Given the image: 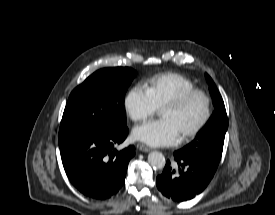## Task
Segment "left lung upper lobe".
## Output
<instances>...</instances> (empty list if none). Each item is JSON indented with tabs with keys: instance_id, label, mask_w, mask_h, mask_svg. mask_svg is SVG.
Masks as SVG:
<instances>
[{
	"instance_id": "5c2ea615",
	"label": "left lung upper lobe",
	"mask_w": 275,
	"mask_h": 215,
	"mask_svg": "<svg viewBox=\"0 0 275 215\" xmlns=\"http://www.w3.org/2000/svg\"><path fill=\"white\" fill-rule=\"evenodd\" d=\"M206 79L215 111L194 140L178 151L182 155L201 159L218 166L223 151L225 133L228 129V118L223 99L216 85L208 74H206Z\"/></svg>"
}]
</instances>
